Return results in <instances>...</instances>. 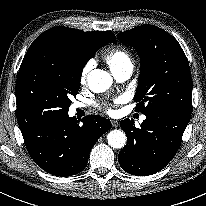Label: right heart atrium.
Listing matches in <instances>:
<instances>
[{
    "label": "right heart atrium",
    "mask_w": 206,
    "mask_h": 206,
    "mask_svg": "<svg viewBox=\"0 0 206 206\" xmlns=\"http://www.w3.org/2000/svg\"><path fill=\"white\" fill-rule=\"evenodd\" d=\"M94 63L92 60L88 61L82 68L81 73H80V82L84 84L87 80L88 74L93 68Z\"/></svg>",
    "instance_id": "d8ad5b80"
}]
</instances>
